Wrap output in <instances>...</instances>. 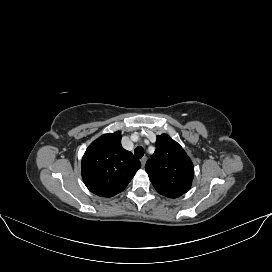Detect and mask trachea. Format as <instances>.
<instances>
[{"mask_svg":"<svg viewBox=\"0 0 272 272\" xmlns=\"http://www.w3.org/2000/svg\"><path fill=\"white\" fill-rule=\"evenodd\" d=\"M134 155L136 158L140 159L143 157L144 155V149L141 146H138L135 150H134Z\"/></svg>","mask_w":272,"mask_h":272,"instance_id":"1","label":"trachea"}]
</instances>
